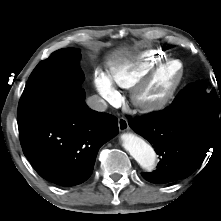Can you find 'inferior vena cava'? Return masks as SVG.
I'll return each instance as SVG.
<instances>
[{
  "mask_svg": "<svg viewBox=\"0 0 221 221\" xmlns=\"http://www.w3.org/2000/svg\"><path fill=\"white\" fill-rule=\"evenodd\" d=\"M86 103L89 108L99 112H104L108 107L107 103L98 95H93L89 97Z\"/></svg>",
  "mask_w": 221,
  "mask_h": 221,
  "instance_id": "obj_1",
  "label": "inferior vena cava"
}]
</instances>
